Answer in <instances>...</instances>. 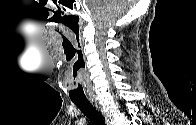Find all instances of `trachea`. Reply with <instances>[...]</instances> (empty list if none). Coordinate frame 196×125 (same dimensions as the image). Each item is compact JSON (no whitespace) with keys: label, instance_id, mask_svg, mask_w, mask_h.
<instances>
[{"label":"trachea","instance_id":"obj_1","mask_svg":"<svg viewBox=\"0 0 196 125\" xmlns=\"http://www.w3.org/2000/svg\"><path fill=\"white\" fill-rule=\"evenodd\" d=\"M73 103L88 117L92 125H105L101 114L93 107L88 99L73 100Z\"/></svg>","mask_w":196,"mask_h":125}]
</instances>
